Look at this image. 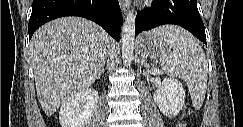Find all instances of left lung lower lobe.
<instances>
[{
    "instance_id": "left-lung-lower-lobe-1",
    "label": "left lung lower lobe",
    "mask_w": 243,
    "mask_h": 127,
    "mask_svg": "<svg viewBox=\"0 0 243 127\" xmlns=\"http://www.w3.org/2000/svg\"><path fill=\"white\" fill-rule=\"evenodd\" d=\"M164 24L179 25L207 45L197 0H156L151 8L137 13L135 35Z\"/></svg>"
}]
</instances>
